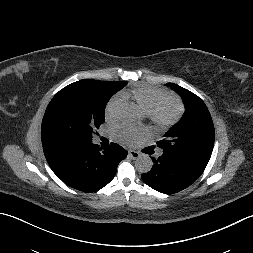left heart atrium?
<instances>
[{
	"instance_id": "1",
	"label": "left heart atrium",
	"mask_w": 253,
	"mask_h": 253,
	"mask_svg": "<svg viewBox=\"0 0 253 253\" xmlns=\"http://www.w3.org/2000/svg\"><path fill=\"white\" fill-rule=\"evenodd\" d=\"M147 133L148 132L145 129L134 130L128 127H123L118 130L117 135L120 138V140L127 143H132L138 137L147 135Z\"/></svg>"
}]
</instances>
